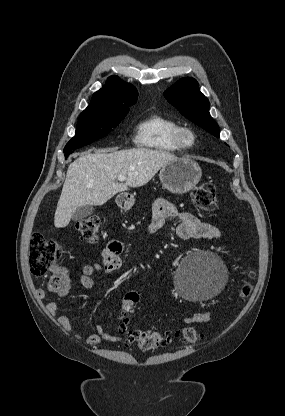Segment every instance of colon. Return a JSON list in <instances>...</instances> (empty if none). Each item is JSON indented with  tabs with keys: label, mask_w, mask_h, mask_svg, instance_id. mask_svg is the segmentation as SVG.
Segmentation results:
<instances>
[{
	"label": "colon",
	"mask_w": 285,
	"mask_h": 416,
	"mask_svg": "<svg viewBox=\"0 0 285 416\" xmlns=\"http://www.w3.org/2000/svg\"><path fill=\"white\" fill-rule=\"evenodd\" d=\"M194 204L203 211H213L217 208L215 186L211 183H204L197 186L192 192ZM75 228L80 236L89 243L97 241L99 233L103 228V221L96 216L80 219ZM62 256L61 246L54 240L47 239L44 235L36 233L30 242V271L32 275L40 277L52 272L49 280V289L58 291L65 282L64 269L57 264V260ZM251 292V285L246 284L242 287L240 295L247 297ZM139 301V294L135 291L128 292L123 300L122 323L119 332L123 336L124 343L128 346H136L142 351H153L168 346L172 341V336L168 332L157 330H131L128 328V316L133 312ZM177 336L184 344L197 342L201 335L192 327H184L179 330Z\"/></svg>",
	"instance_id": "1"
}]
</instances>
